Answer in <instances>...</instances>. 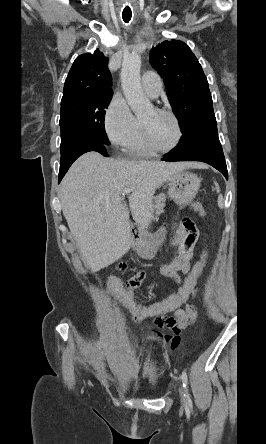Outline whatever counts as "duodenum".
<instances>
[{
	"label": "duodenum",
	"instance_id": "1",
	"mask_svg": "<svg viewBox=\"0 0 266 444\" xmlns=\"http://www.w3.org/2000/svg\"><path fill=\"white\" fill-rule=\"evenodd\" d=\"M134 239L135 240L137 239V232L136 231L134 232Z\"/></svg>",
	"mask_w": 266,
	"mask_h": 444
}]
</instances>
